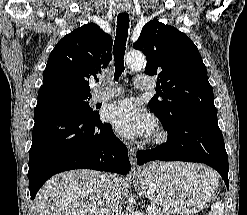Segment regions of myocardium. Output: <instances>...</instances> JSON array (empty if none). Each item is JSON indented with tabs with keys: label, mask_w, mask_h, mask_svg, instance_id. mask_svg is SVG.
I'll list each match as a JSON object with an SVG mask.
<instances>
[{
	"label": "myocardium",
	"mask_w": 247,
	"mask_h": 215,
	"mask_svg": "<svg viewBox=\"0 0 247 215\" xmlns=\"http://www.w3.org/2000/svg\"><path fill=\"white\" fill-rule=\"evenodd\" d=\"M166 138H167L166 132L163 129H158L153 136V142L155 144H161L165 142Z\"/></svg>",
	"instance_id": "f54148a6"
}]
</instances>
